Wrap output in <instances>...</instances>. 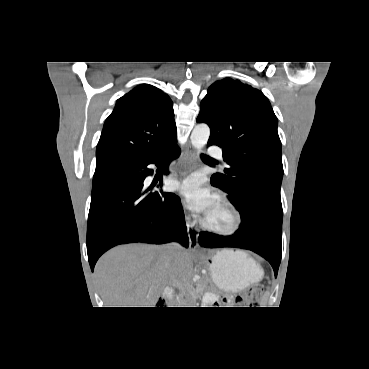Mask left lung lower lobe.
Wrapping results in <instances>:
<instances>
[{
    "mask_svg": "<svg viewBox=\"0 0 369 369\" xmlns=\"http://www.w3.org/2000/svg\"><path fill=\"white\" fill-rule=\"evenodd\" d=\"M211 184L217 187L212 180ZM282 218V208L262 202L253 210L249 222L241 221L234 235L219 236L200 232L199 244L206 248L235 247L251 250L269 261L277 276L281 261Z\"/></svg>",
    "mask_w": 369,
    "mask_h": 369,
    "instance_id": "0a47b994",
    "label": "left lung lower lobe"
}]
</instances>
